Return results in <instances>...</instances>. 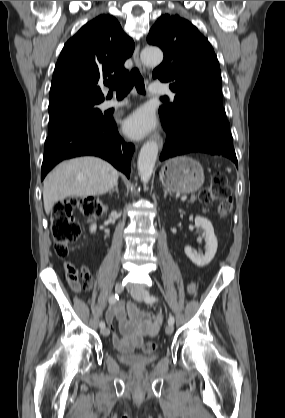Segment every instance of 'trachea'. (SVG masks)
<instances>
[{
    "label": "trachea",
    "mask_w": 285,
    "mask_h": 418,
    "mask_svg": "<svg viewBox=\"0 0 285 418\" xmlns=\"http://www.w3.org/2000/svg\"><path fill=\"white\" fill-rule=\"evenodd\" d=\"M133 86L136 87V90L139 93H145L144 80L137 68L132 69L130 74L122 82L109 84L110 89H115L117 91V98H124Z\"/></svg>",
    "instance_id": "trachea-1"
}]
</instances>
